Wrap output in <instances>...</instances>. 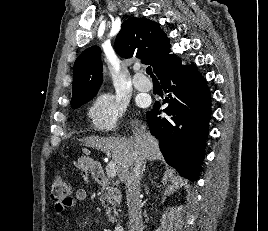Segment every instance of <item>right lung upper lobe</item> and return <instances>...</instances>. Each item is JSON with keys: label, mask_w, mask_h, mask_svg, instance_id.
I'll return each instance as SVG.
<instances>
[{"label": "right lung upper lobe", "mask_w": 268, "mask_h": 231, "mask_svg": "<svg viewBox=\"0 0 268 231\" xmlns=\"http://www.w3.org/2000/svg\"><path fill=\"white\" fill-rule=\"evenodd\" d=\"M115 50L123 58L138 57L153 66L159 77L165 70L181 62L169 55L170 44L159 23L147 18H130L122 23L115 40ZM102 83L100 48L92 46L76 59L73 72L71 105L92 99Z\"/></svg>", "instance_id": "right-lung-upper-lobe-1"}]
</instances>
